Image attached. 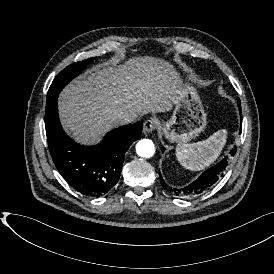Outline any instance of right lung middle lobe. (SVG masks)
Here are the masks:
<instances>
[{"label": "right lung middle lobe", "instance_id": "obj_1", "mask_svg": "<svg viewBox=\"0 0 274 274\" xmlns=\"http://www.w3.org/2000/svg\"><path fill=\"white\" fill-rule=\"evenodd\" d=\"M93 60L94 58H89L83 61L75 62L62 70L53 80L47 93V99L57 96L65 85L68 84L74 77L78 76L82 69Z\"/></svg>", "mask_w": 274, "mask_h": 274}]
</instances>
